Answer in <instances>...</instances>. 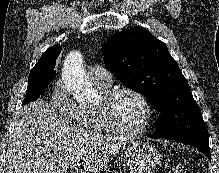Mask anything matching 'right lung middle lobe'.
Wrapping results in <instances>:
<instances>
[{"label": "right lung middle lobe", "mask_w": 219, "mask_h": 173, "mask_svg": "<svg viewBox=\"0 0 219 173\" xmlns=\"http://www.w3.org/2000/svg\"><path fill=\"white\" fill-rule=\"evenodd\" d=\"M55 75L44 73L42 70H31L28 77V87L23 104L34 101L43 94L45 88L55 78Z\"/></svg>", "instance_id": "dd1d6c3e"}]
</instances>
